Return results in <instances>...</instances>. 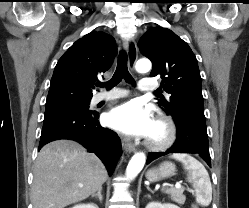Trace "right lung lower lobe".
<instances>
[{
    "instance_id": "right-lung-lower-lobe-1",
    "label": "right lung lower lobe",
    "mask_w": 249,
    "mask_h": 208,
    "mask_svg": "<svg viewBox=\"0 0 249 208\" xmlns=\"http://www.w3.org/2000/svg\"><path fill=\"white\" fill-rule=\"evenodd\" d=\"M98 118V113L74 106L46 108L38 150L58 139L77 141L95 153L111 175L121 154V140L114 131L101 127Z\"/></svg>"
}]
</instances>
